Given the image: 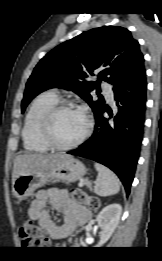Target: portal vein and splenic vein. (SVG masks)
<instances>
[{"label":"portal vein and splenic vein","instance_id":"18ae733b","mask_svg":"<svg viewBox=\"0 0 162 261\" xmlns=\"http://www.w3.org/2000/svg\"><path fill=\"white\" fill-rule=\"evenodd\" d=\"M83 181H80V183H79V186L81 187V186H83Z\"/></svg>","mask_w":162,"mask_h":261}]
</instances>
